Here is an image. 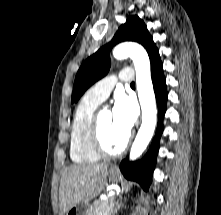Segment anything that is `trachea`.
<instances>
[{"label":"trachea","instance_id":"trachea-1","mask_svg":"<svg viewBox=\"0 0 221 215\" xmlns=\"http://www.w3.org/2000/svg\"><path fill=\"white\" fill-rule=\"evenodd\" d=\"M131 85H135V83H134V82H132V83H131Z\"/></svg>","mask_w":221,"mask_h":215}]
</instances>
